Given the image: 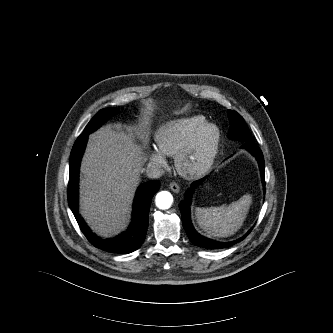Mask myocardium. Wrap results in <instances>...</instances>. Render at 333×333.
I'll list each match as a JSON object with an SVG mask.
<instances>
[{
	"label": "myocardium",
	"mask_w": 333,
	"mask_h": 333,
	"mask_svg": "<svg viewBox=\"0 0 333 333\" xmlns=\"http://www.w3.org/2000/svg\"><path fill=\"white\" fill-rule=\"evenodd\" d=\"M211 132L210 141L203 152L197 156L203 137ZM221 142L220 128L206 122L197 129L190 141L176 155L175 165L178 172L187 178H195L204 174L213 164Z\"/></svg>",
	"instance_id": "1"
}]
</instances>
